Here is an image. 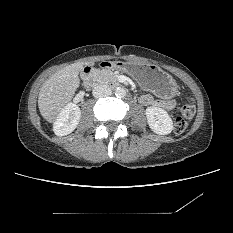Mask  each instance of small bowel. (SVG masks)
<instances>
[{"instance_id": "small-bowel-1", "label": "small bowel", "mask_w": 233, "mask_h": 233, "mask_svg": "<svg viewBox=\"0 0 233 233\" xmlns=\"http://www.w3.org/2000/svg\"><path fill=\"white\" fill-rule=\"evenodd\" d=\"M139 102L143 105H153L156 107H161L166 110H170L175 106V102L172 100H160L155 99L153 96L149 94H143L139 97Z\"/></svg>"}]
</instances>
